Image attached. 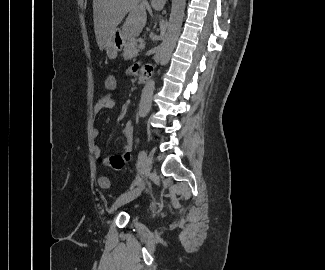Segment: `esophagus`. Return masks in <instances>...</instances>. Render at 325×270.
<instances>
[{
	"label": "esophagus",
	"mask_w": 325,
	"mask_h": 270,
	"mask_svg": "<svg viewBox=\"0 0 325 270\" xmlns=\"http://www.w3.org/2000/svg\"><path fill=\"white\" fill-rule=\"evenodd\" d=\"M167 0H151V5L156 10H161L164 8Z\"/></svg>",
	"instance_id": "1"
}]
</instances>
